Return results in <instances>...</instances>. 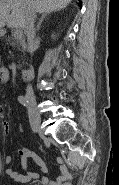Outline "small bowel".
<instances>
[{
  "label": "small bowel",
  "instance_id": "c3829d8e",
  "mask_svg": "<svg viewBox=\"0 0 119 185\" xmlns=\"http://www.w3.org/2000/svg\"><path fill=\"white\" fill-rule=\"evenodd\" d=\"M10 80V72L6 67L0 68V82L7 83ZM11 126L9 121H3L2 133L8 135L10 133ZM18 154L21 159V170H15L11 167L5 169V174L17 182H30L39 179V174L28 169V159H32L40 168L44 174L41 177V182L44 185H72V174L68 171L63 158H58L57 163L59 165V174L50 179L46 176L48 168L43 159L33 152L28 147H21L18 149ZM4 162L9 165L12 162V155L6 154L4 156ZM24 172V173H22Z\"/></svg>",
  "mask_w": 119,
  "mask_h": 185
}]
</instances>
